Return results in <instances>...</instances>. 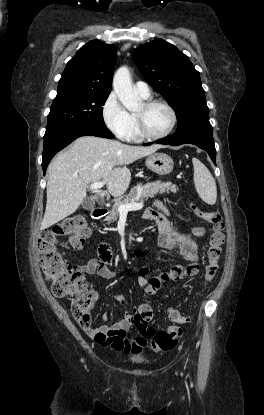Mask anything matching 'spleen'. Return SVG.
Wrapping results in <instances>:
<instances>
[{"label":"spleen","mask_w":264,"mask_h":415,"mask_svg":"<svg viewBox=\"0 0 264 415\" xmlns=\"http://www.w3.org/2000/svg\"><path fill=\"white\" fill-rule=\"evenodd\" d=\"M194 166V184L200 198L209 205L217 199L216 182L208 168L197 158L192 159Z\"/></svg>","instance_id":"1"}]
</instances>
